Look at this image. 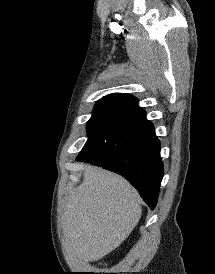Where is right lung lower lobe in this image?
I'll list each match as a JSON object with an SVG mask.
<instances>
[{"instance_id":"98d812e1","label":"right lung lower lobe","mask_w":215,"mask_h":274,"mask_svg":"<svg viewBox=\"0 0 215 274\" xmlns=\"http://www.w3.org/2000/svg\"><path fill=\"white\" fill-rule=\"evenodd\" d=\"M77 161L90 162L122 175L139 191L148 206L152 209L156 206L164 172L160 143L153 126L109 162L89 158Z\"/></svg>"}]
</instances>
